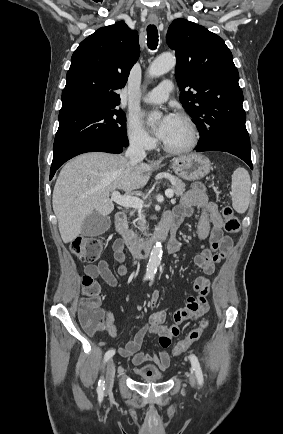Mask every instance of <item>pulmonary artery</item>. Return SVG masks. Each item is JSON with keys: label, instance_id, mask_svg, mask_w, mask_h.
Segmentation results:
<instances>
[{"label": "pulmonary artery", "instance_id": "e3ab8cb5", "mask_svg": "<svg viewBox=\"0 0 283 434\" xmlns=\"http://www.w3.org/2000/svg\"><path fill=\"white\" fill-rule=\"evenodd\" d=\"M173 88V83L170 80L161 82L157 87L151 90L143 97V101L152 104L165 102Z\"/></svg>", "mask_w": 283, "mask_h": 434}]
</instances>
